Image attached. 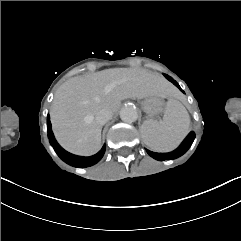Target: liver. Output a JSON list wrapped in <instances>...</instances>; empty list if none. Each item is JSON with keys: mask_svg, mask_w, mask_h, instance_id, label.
Instances as JSON below:
<instances>
[{"mask_svg": "<svg viewBox=\"0 0 241 241\" xmlns=\"http://www.w3.org/2000/svg\"><path fill=\"white\" fill-rule=\"evenodd\" d=\"M169 82L159 73L142 69L117 68L76 76L56 91L50 117L58 143L67 151L83 156L101 148L102 125L94 116L102 109L116 113L127 98L169 97Z\"/></svg>", "mask_w": 241, "mask_h": 241, "instance_id": "1", "label": "liver"}]
</instances>
